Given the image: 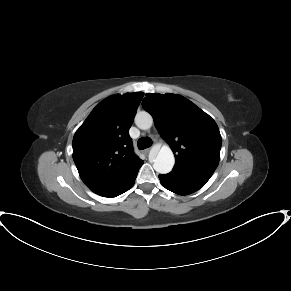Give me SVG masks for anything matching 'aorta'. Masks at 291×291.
Segmentation results:
<instances>
[{"label":"aorta","instance_id":"762f6f07","mask_svg":"<svg viewBox=\"0 0 291 291\" xmlns=\"http://www.w3.org/2000/svg\"><path fill=\"white\" fill-rule=\"evenodd\" d=\"M135 124L141 130H148L153 124V118L151 114L146 111H140L135 116ZM175 163L174 154L169 146H162L159 150L154 163L153 168L160 174L169 173Z\"/></svg>","mask_w":291,"mask_h":291}]
</instances>
